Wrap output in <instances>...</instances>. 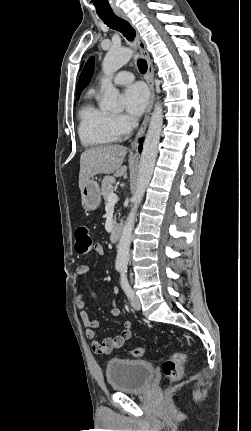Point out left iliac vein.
Segmentation results:
<instances>
[{
  "mask_svg": "<svg viewBox=\"0 0 251 431\" xmlns=\"http://www.w3.org/2000/svg\"><path fill=\"white\" fill-rule=\"evenodd\" d=\"M130 301H131V306L135 310H140V308H141L140 300H139L138 296L133 291H132V295L130 297Z\"/></svg>",
  "mask_w": 251,
  "mask_h": 431,
  "instance_id": "left-iliac-vein-1",
  "label": "left iliac vein"
}]
</instances>
